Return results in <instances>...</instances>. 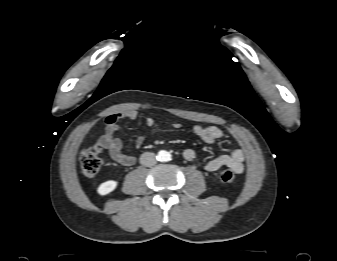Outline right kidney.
<instances>
[{
    "mask_svg": "<svg viewBox=\"0 0 337 261\" xmlns=\"http://www.w3.org/2000/svg\"><path fill=\"white\" fill-rule=\"evenodd\" d=\"M116 187H117V181L108 180V181L100 184L97 191L100 195H106V194L112 192L113 190H115Z\"/></svg>",
    "mask_w": 337,
    "mask_h": 261,
    "instance_id": "obj_1",
    "label": "right kidney"
}]
</instances>
